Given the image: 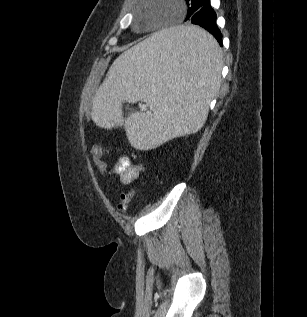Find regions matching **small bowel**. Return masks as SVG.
I'll return each mask as SVG.
<instances>
[{
	"label": "small bowel",
	"mask_w": 307,
	"mask_h": 317,
	"mask_svg": "<svg viewBox=\"0 0 307 317\" xmlns=\"http://www.w3.org/2000/svg\"><path fill=\"white\" fill-rule=\"evenodd\" d=\"M142 170V165L133 164L127 156H121L112 167L111 173L117 175L122 184L128 185L140 176Z\"/></svg>",
	"instance_id": "small-bowel-1"
}]
</instances>
